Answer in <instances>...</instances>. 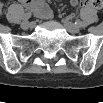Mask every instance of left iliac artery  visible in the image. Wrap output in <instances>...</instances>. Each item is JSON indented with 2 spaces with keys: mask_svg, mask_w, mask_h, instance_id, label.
Segmentation results:
<instances>
[{
  "mask_svg": "<svg viewBox=\"0 0 103 103\" xmlns=\"http://www.w3.org/2000/svg\"><path fill=\"white\" fill-rule=\"evenodd\" d=\"M78 25L81 26V27H86L88 25V23L85 22V21H79Z\"/></svg>",
  "mask_w": 103,
  "mask_h": 103,
  "instance_id": "obj_1",
  "label": "left iliac artery"
}]
</instances>
